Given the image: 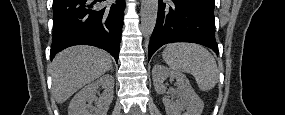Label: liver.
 Masks as SVG:
<instances>
[{
    "label": "liver",
    "instance_id": "liver-1",
    "mask_svg": "<svg viewBox=\"0 0 285 115\" xmlns=\"http://www.w3.org/2000/svg\"><path fill=\"white\" fill-rule=\"evenodd\" d=\"M111 66L110 55L91 46H75L58 53L51 64L56 102H65L77 90L105 74Z\"/></svg>",
    "mask_w": 285,
    "mask_h": 115
}]
</instances>
